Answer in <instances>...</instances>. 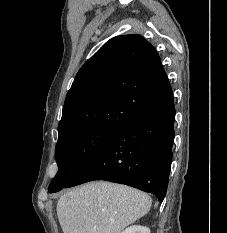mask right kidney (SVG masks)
<instances>
[{
	"mask_svg": "<svg viewBox=\"0 0 227 233\" xmlns=\"http://www.w3.org/2000/svg\"><path fill=\"white\" fill-rule=\"evenodd\" d=\"M121 233H150V229L144 226L133 225L126 228Z\"/></svg>",
	"mask_w": 227,
	"mask_h": 233,
	"instance_id": "right-kidney-1",
	"label": "right kidney"
}]
</instances>
